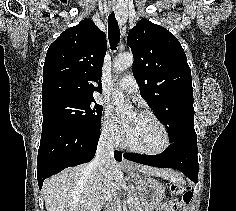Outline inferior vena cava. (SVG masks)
<instances>
[{
    "label": "inferior vena cava",
    "instance_id": "602c4592",
    "mask_svg": "<svg viewBox=\"0 0 236 211\" xmlns=\"http://www.w3.org/2000/svg\"><path fill=\"white\" fill-rule=\"evenodd\" d=\"M113 142H114L113 134L109 132H104L101 134L95 157L89 164L90 169H98L102 172H105V170L113 162V156H114Z\"/></svg>",
    "mask_w": 236,
    "mask_h": 211
}]
</instances>
